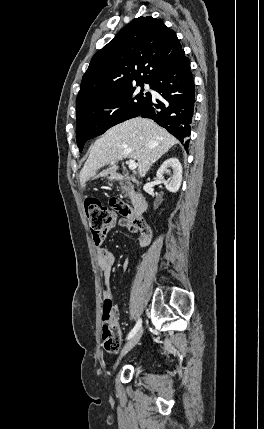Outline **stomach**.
Listing matches in <instances>:
<instances>
[{"instance_id": "0dacf381", "label": "stomach", "mask_w": 264, "mask_h": 429, "mask_svg": "<svg viewBox=\"0 0 264 429\" xmlns=\"http://www.w3.org/2000/svg\"><path fill=\"white\" fill-rule=\"evenodd\" d=\"M104 176H106L110 180L114 179V174L112 173L105 174Z\"/></svg>"}]
</instances>
